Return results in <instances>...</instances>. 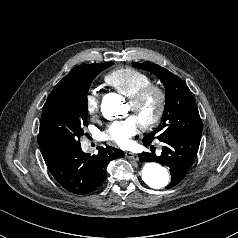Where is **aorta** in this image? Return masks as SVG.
Segmentation results:
<instances>
[{
	"instance_id": "obj_1",
	"label": "aorta",
	"mask_w": 238,
	"mask_h": 238,
	"mask_svg": "<svg viewBox=\"0 0 238 238\" xmlns=\"http://www.w3.org/2000/svg\"><path fill=\"white\" fill-rule=\"evenodd\" d=\"M101 111L108 120L120 117L126 113L123 102L117 95L105 97L102 101ZM141 174L143 181L153 189H164L170 182V175L167 169L155 162L145 163Z\"/></svg>"
}]
</instances>
